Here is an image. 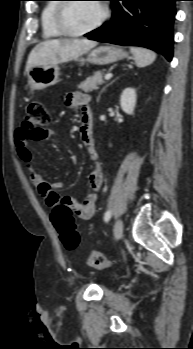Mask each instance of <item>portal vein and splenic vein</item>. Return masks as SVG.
I'll return each instance as SVG.
<instances>
[{
    "instance_id": "obj_1",
    "label": "portal vein and splenic vein",
    "mask_w": 193,
    "mask_h": 349,
    "mask_svg": "<svg viewBox=\"0 0 193 349\" xmlns=\"http://www.w3.org/2000/svg\"><path fill=\"white\" fill-rule=\"evenodd\" d=\"M111 78H112V74H111V73L105 75V79H106V80H109V79H111Z\"/></svg>"
}]
</instances>
